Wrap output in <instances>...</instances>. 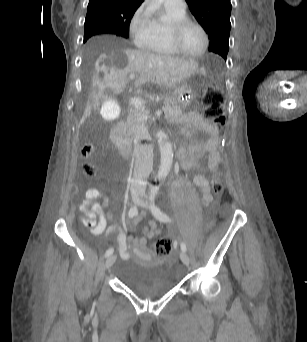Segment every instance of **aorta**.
<instances>
[{"label": "aorta", "mask_w": 307, "mask_h": 342, "mask_svg": "<svg viewBox=\"0 0 307 342\" xmlns=\"http://www.w3.org/2000/svg\"><path fill=\"white\" fill-rule=\"evenodd\" d=\"M157 138L161 158L157 176H159V178H166L173 164V148L164 132H157Z\"/></svg>", "instance_id": "1"}]
</instances>
